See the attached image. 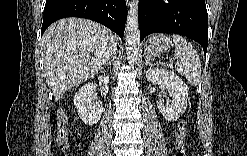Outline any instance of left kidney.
Masks as SVG:
<instances>
[{
	"label": "left kidney",
	"instance_id": "left-kidney-1",
	"mask_svg": "<svg viewBox=\"0 0 247 156\" xmlns=\"http://www.w3.org/2000/svg\"><path fill=\"white\" fill-rule=\"evenodd\" d=\"M146 78L152 84H163L167 89L170 98L166 103L163 98H159L157 107L166 120H177L187 108L189 88L186 83L173 71L157 67L148 69Z\"/></svg>",
	"mask_w": 247,
	"mask_h": 156
}]
</instances>
